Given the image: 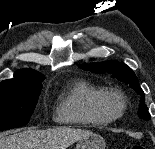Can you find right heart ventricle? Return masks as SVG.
Masks as SVG:
<instances>
[{
  "mask_svg": "<svg viewBox=\"0 0 155 149\" xmlns=\"http://www.w3.org/2000/svg\"><path fill=\"white\" fill-rule=\"evenodd\" d=\"M101 89L85 80H76L60 98L55 120L59 123L80 126H107L112 121L98 109Z\"/></svg>",
  "mask_w": 155,
  "mask_h": 149,
  "instance_id": "1",
  "label": "right heart ventricle"
}]
</instances>
